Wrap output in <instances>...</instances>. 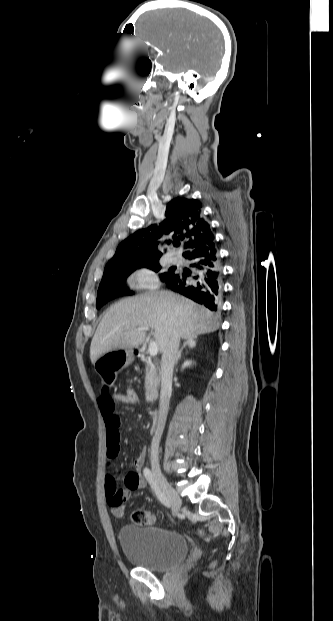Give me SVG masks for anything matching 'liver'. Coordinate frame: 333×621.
<instances>
[{
    "instance_id": "1",
    "label": "liver",
    "mask_w": 333,
    "mask_h": 621,
    "mask_svg": "<svg viewBox=\"0 0 333 621\" xmlns=\"http://www.w3.org/2000/svg\"><path fill=\"white\" fill-rule=\"evenodd\" d=\"M219 325L217 316L210 310L168 291L125 298L103 316L91 341L90 360L94 364L108 352L139 347L146 333L138 331V327L153 328L154 338L163 352L173 330L188 339L214 332Z\"/></svg>"
}]
</instances>
